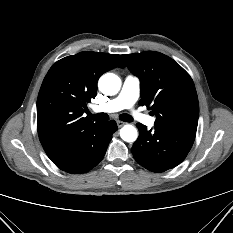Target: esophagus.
<instances>
[{
    "label": "esophagus",
    "mask_w": 233,
    "mask_h": 233,
    "mask_svg": "<svg viewBox=\"0 0 233 233\" xmlns=\"http://www.w3.org/2000/svg\"><path fill=\"white\" fill-rule=\"evenodd\" d=\"M116 123H117V126H118L119 128L122 127L123 125H125V122L120 121V120H117Z\"/></svg>",
    "instance_id": "34e87169"
}]
</instances>
